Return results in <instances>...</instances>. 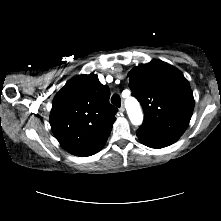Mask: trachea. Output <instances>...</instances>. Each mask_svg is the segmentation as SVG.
Segmentation results:
<instances>
[{"label": "trachea", "mask_w": 221, "mask_h": 221, "mask_svg": "<svg viewBox=\"0 0 221 221\" xmlns=\"http://www.w3.org/2000/svg\"><path fill=\"white\" fill-rule=\"evenodd\" d=\"M111 102H112L115 106L120 107V105H121V99H120L119 95L114 94V95L112 96V98H111Z\"/></svg>", "instance_id": "1"}]
</instances>
